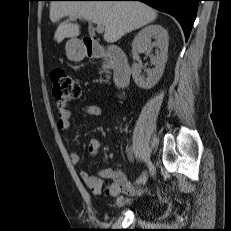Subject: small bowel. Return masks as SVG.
Segmentation results:
<instances>
[{
    "mask_svg": "<svg viewBox=\"0 0 231 231\" xmlns=\"http://www.w3.org/2000/svg\"><path fill=\"white\" fill-rule=\"evenodd\" d=\"M84 112L90 116H99L102 111L97 105H89L84 108ZM70 116L71 112L67 104L58 103L57 128L61 132H68L70 130ZM100 149V140L94 138L89 141L88 153L90 156H97ZM69 159L73 165H78L81 161V155L73 151L69 154ZM79 175L93 194L100 195L104 193L107 196L115 198L118 205L127 203L130 197L140 192L139 187L128 181L121 169L102 168L98 171L97 175H91L87 171L81 170ZM106 180L110 181L107 185H105Z\"/></svg>",
    "mask_w": 231,
    "mask_h": 231,
    "instance_id": "1",
    "label": "small bowel"
}]
</instances>
